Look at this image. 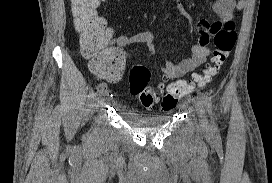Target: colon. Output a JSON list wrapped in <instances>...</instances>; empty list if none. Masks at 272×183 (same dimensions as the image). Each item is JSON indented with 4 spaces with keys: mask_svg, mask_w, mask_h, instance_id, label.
<instances>
[{
    "mask_svg": "<svg viewBox=\"0 0 272 183\" xmlns=\"http://www.w3.org/2000/svg\"><path fill=\"white\" fill-rule=\"evenodd\" d=\"M105 0H70L75 28L79 34L82 55L90 60L91 67L98 73H105L118 61L117 55L107 44L109 33L99 9ZM214 36V51L210 61L205 67L192 76L191 81H177L167 86L162 95V86L150 85V72L141 65L133 66L129 73L130 93L137 97L145 107H151L159 100L164 110L173 109L178 100L188 94L195 87H203L209 83L219 72L236 42V30L233 20H228ZM209 40V39H208Z\"/></svg>",
    "mask_w": 272,
    "mask_h": 183,
    "instance_id": "obj_1",
    "label": "colon"
}]
</instances>
